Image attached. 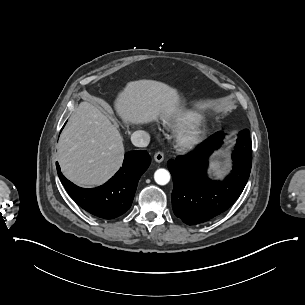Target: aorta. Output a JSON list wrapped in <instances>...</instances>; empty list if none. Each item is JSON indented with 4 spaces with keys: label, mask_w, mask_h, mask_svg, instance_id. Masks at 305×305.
<instances>
[{
    "label": "aorta",
    "mask_w": 305,
    "mask_h": 305,
    "mask_svg": "<svg viewBox=\"0 0 305 305\" xmlns=\"http://www.w3.org/2000/svg\"><path fill=\"white\" fill-rule=\"evenodd\" d=\"M155 182L159 185H166L170 181V173L166 169H158L154 173Z\"/></svg>",
    "instance_id": "obj_1"
}]
</instances>
